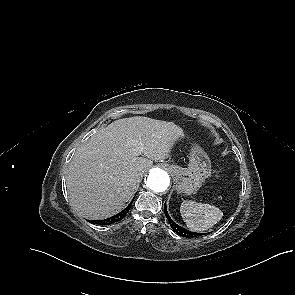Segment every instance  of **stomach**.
<instances>
[{"label": "stomach", "instance_id": "obj_1", "mask_svg": "<svg viewBox=\"0 0 295 295\" xmlns=\"http://www.w3.org/2000/svg\"><path fill=\"white\" fill-rule=\"evenodd\" d=\"M171 173L178 193L192 194L199 190L211 174V162L207 154L198 146L191 150L187 168L172 165Z\"/></svg>", "mask_w": 295, "mask_h": 295}]
</instances>
